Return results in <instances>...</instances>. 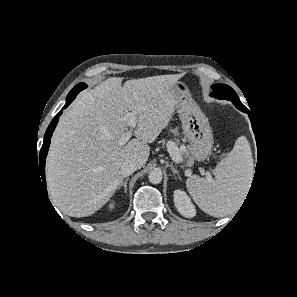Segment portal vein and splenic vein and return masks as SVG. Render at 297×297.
Listing matches in <instances>:
<instances>
[{"mask_svg":"<svg viewBox=\"0 0 297 297\" xmlns=\"http://www.w3.org/2000/svg\"><path fill=\"white\" fill-rule=\"evenodd\" d=\"M136 114H137L136 111H132V112H128L125 115L124 120L128 122L131 129L129 131H127L126 133H124L123 135H121V137L119 139L120 145L126 144L129 141V139L131 138L132 131L136 127ZM167 150H168L170 156L172 157V159L174 160V162L180 163L181 157L176 153V147L174 146L173 143L170 142L167 144ZM188 175H189V172H188ZM207 175L210 176L209 174H207Z\"/></svg>","mask_w":297,"mask_h":297,"instance_id":"18ae733b","label":"portal vein and splenic vein"}]
</instances>
